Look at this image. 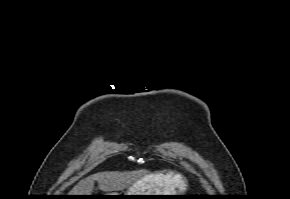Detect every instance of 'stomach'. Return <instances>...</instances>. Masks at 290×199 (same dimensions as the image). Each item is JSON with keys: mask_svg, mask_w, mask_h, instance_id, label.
Instances as JSON below:
<instances>
[{"mask_svg": "<svg viewBox=\"0 0 290 199\" xmlns=\"http://www.w3.org/2000/svg\"><path fill=\"white\" fill-rule=\"evenodd\" d=\"M165 179H161L158 175L145 176L142 179L133 183L125 192H113L108 195H177L174 187L166 184ZM116 199H150L163 198L169 196H113Z\"/></svg>", "mask_w": 290, "mask_h": 199, "instance_id": "1", "label": "stomach"}]
</instances>
